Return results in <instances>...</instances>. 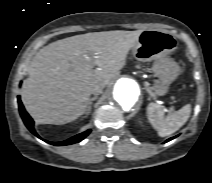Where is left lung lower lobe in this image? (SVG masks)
<instances>
[{
	"label": "left lung lower lobe",
	"instance_id": "left-lung-lower-lobe-1",
	"mask_svg": "<svg viewBox=\"0 0 212 183\" xmlns=\"http://www.w3.org/2000/svg\"><path fill=\"white\" fill-rule=\"evenodd\" d=\"M173 138H174V137H173ZM173 138H170V139H168L167 141H170V140H172ZM167 141H166V142H167Z\"/></svg>",
	"mask_w": 212,
	"mask_h": 183
}]
</instances>
